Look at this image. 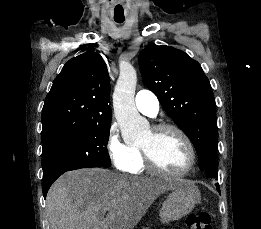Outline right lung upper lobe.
<instances>
[{
    "mask_svg": "<svg viewBox=\"0 0 261 229\" xmlns=\"http://www.w3.org/2000/svg\"><path fill=\"white\" fill-rule=\"evenodd\" d=\"M110 81L102 57L91 50L69 60L55 78L42 110L43 149L93 125L111 123Z\"/></svg>",
    "mask_w": 261,
    "mask_h": 229,
    "instance_id": "obj_1",
    "label": "right lung upper lobe"
}]
</instances>
